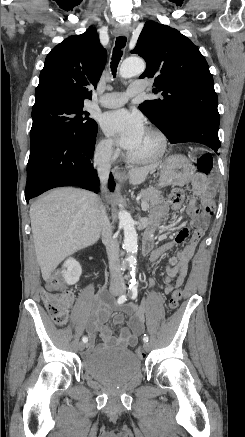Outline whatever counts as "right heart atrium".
<instances>
[{"mask_svg":"<svg viewBox=\"0 0 245 437\" xmlns=\"http://www.w3.org/2000/svg\"><path fill=\"white\" fill-rule=\"evenodd\" d=\"M118 151L112 141L106 137H100L94 145L95 161L101 166L110 165L117 157Z\"/></svg>","mask_w":245,"mask_h":437,"instance_id":"right-heart-atrium-1","label":"right heart atrium"}]
</instances>
